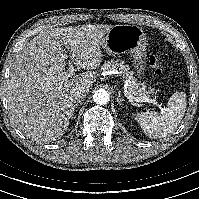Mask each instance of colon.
Here are the masks:
<instances>
[{
    "instance_id": "colon-1",
    "label": "colon",
    "mask_w": 199,
    "mask_h": 199,
    "mask_svg": "<svg viewBox=\"0 0 199 199\" xmlns=\"http://www.w3.org/2000/svg\"><path fill=\"white\" fill-rule=\"evenodd\" d=\"M162 49L152 50L149 55V64L156 76H161L164 73V65L161 61Z\"/></svg>"
}]
</instances>
